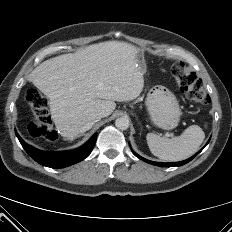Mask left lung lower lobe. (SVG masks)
<instances>
[{
  "instance_id": "1",
  "label": "left lung lower lobe",
  "mask_w": 232,
  "mask_h": 232,
  "mask_svg": "<svg viewBox=\"0 0 232 232\" xmlns=\"http://www.w3.org/2000/svg\"><path fill=\"white\" fill-rule=\"evenodd\" d=\"M209 142V141H208ZM207 142V144H208ZM202 150V149H201ZM201 150L199 152H201ZM199 152H197L194 156H192L191 158L187 159V160H184V161H181V162H175V163H161V162H154V161H150V160H147L141 156H139L138 154H136L135 152H133V154L138 157L139 159L149 163V164H152V165H156V166H161V167H173V166H181V165H184L186 163H188L189 161H191Z\"/></svg>"
}]
</instances>
